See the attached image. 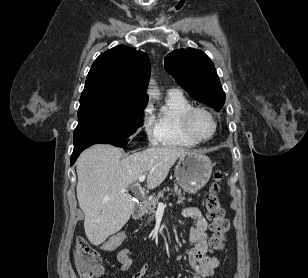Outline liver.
<instances>
[{
    "instance_id": "1",
    "label": "liver",
    "mask_w": 308,
    "mask_h": 278,
    "mask_svg": "<svg viewBox=\"0 0 308 278\" xmlns=\"http://www.w3.org/2000/svg\"><path fill=\"white\" fill-rule=\"evenodd\" d=\"M188 153L179 147H152L121 159L122 151L109 144L86 149L77 160L76 192L90 243L102 244L129 220L134 201L128 193H121L122 189L142 174L147 175V187L156 188L176 160Z\"/></svg>"
}]
</instances>
